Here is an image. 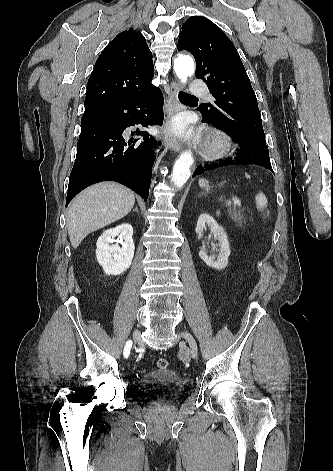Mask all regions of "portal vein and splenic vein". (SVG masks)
<instances>
[{"label": "portal vein and splenic vein", "mask_w": 333, "mask_h": 471, "mask_svg": "<svg viewBox=\"0 0 333 471\" xmlns=\"http://www.w3.org/2000/svg\"><path fill=\"white\" fill-rule=\"evenodd\" d=\"M233 204H234L235 206H241V202H240V200H239L238 198H234V199H233Z\"/></svg>", "instance_id": "portal-vein-and-splenic-vein-1"}]
</instances>
